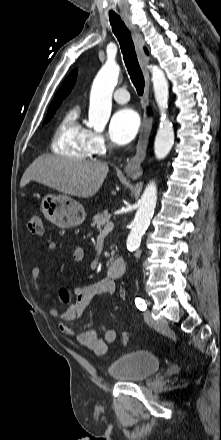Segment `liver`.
<instances>
[{
	"instance_id": "6515ba94",
	"label": "liver",
	"mask_w": 221,
	"mask_h": 440,
	"mask_svg": "<svg viewBox=\"0 0 221 440\" xmlns=\"http://www.w3.org/2000/svg\"><path fill=\"white\" fill-rule=\"evenodd\" d=\"M108 172V164L102 161L42 155L24 172L20 186L36 181L71 196L89 198L99 191Z\"/></svg>"
}]
</instances>
